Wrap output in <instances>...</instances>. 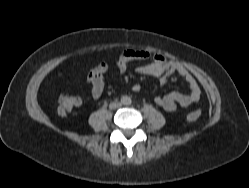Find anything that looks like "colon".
Returning <instances> with one entry per match:
<instances>
[{
  "label": "colon",
  "mask_w": 249,
  "mask_h": 188,
  "mask_svg": "<svg viewBox=\"0 0 249 188\" xmlns=\"http://www.w3.org/2000/svg\"><path fill=\"white\" fill-rule=\"evenodd\" d=\"M82 103L81 98L78 95L70 94L64 92L60 95L57 104V111L60 115H66L79 107ZM201 115L199 110H193L186 115V122L193 123L196 122Z\"/></svg>",
  "instance_id": "colon-1"
}]
</instances>
